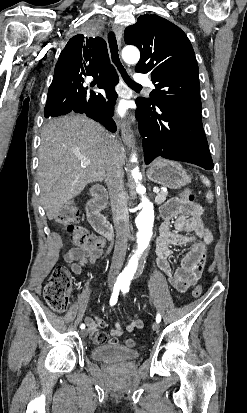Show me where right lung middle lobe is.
Returning a JSON list of instances; mask_svg holds the SVG:
<instances>
[{
	"label": "right lung middle lobe",
	"mask_w": 247,
	"mask_h": 413,
	"mask_svg": "<svg viewBox=\"0 0 247 413\" xmlns=\"http://www.w3.org/2000/svg\"><path fill=\"white\" fill-rule=\"evenodd\" d=\"M74 88L67 83L52 82L49 87L48 98L55 99L60 97H65L73 92Z\"/></svg>",
	"instance_id": "obj_1"
}]
</instances>
